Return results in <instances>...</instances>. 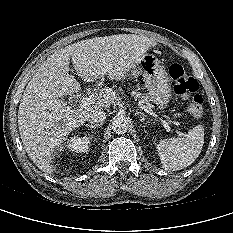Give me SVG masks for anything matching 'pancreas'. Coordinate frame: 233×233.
<instances>
[{
  "label": "pancreas",
  "mask_w": 233,
  "mask_h": 233,
  "mask_svg": "<svg viewBox=\"0 0 233 233\" xmlns=\"http://www.w3.org/2000/svg\"><path fill=\"white\" fill-rule=\"evenodd\" d=\"M132 96L134 99L139 100L140 103L144 104L147 108H153V105L149 102V98L143 96L141 93L133 91Z\"/></svg>",
  "instance_id": "pancreas-1"
}]
</instances>
